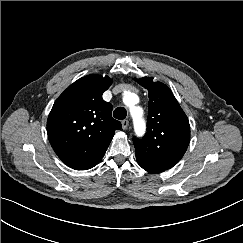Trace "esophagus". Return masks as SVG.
Here are the masks:
<instances>
[{"label": "esophagus", "instance_id": "obj_1", "mask_svg": "<svg viewBox=\"0 0 243 243\" xmlns=\"http://www.w3.org/2000/svg\"><path fill=\"white\" fill-rule=\"evenodd\" d=\"M128 125H129V121L128 120L125 119V120L122 121V128L124 130H126L128 128Z\"/></svg>", "mask_w": 243, "mask_h": 243}]
</instances>
